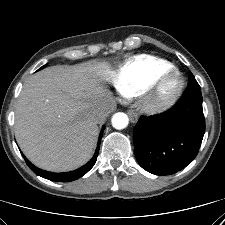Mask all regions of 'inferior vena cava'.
<instances>
[{
    "label": "inferior vena cava",
    "instance_id": "inferior-vena-cava-1",
    "mask_svg": "<svg viewBox=\"0 0 225 225\" xmlns=\"http://www.w3.org/2000/svg\"><path fill=\"white\" fill-rule=\"evenodd\" d=\"M114 107L115 102L111 99H108V101L101 107V109L95 113V120L98 123H102L103 121H105V119L112 112Z\"/></svg>",
    "mask_w": 225,
    "mask_h": 225
}]
</instances>
